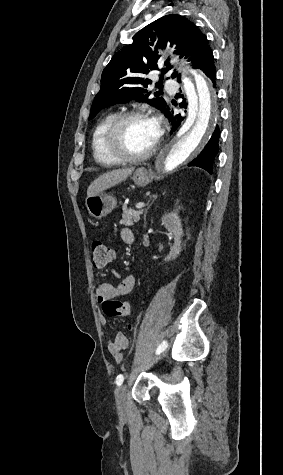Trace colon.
<instances>
[{"label":"colon","mask_w":283,"mask_h":475,"mask_svg":"<svg viewBox=\"0 0 283 475\" xmlns=\"http://www.w3.org/2000/svg\"><path fill=\"white\" fill-rule=\"evenodd\" d=\"M93 264L97 268L104 267L111 260L113 252L110 246L102 241H94L92 244ZM104 314H120L127 318V326L129 330H133L134 325L129 316V305L125 303L105 302L102 307Z\"/></svg>","instance_id":"1"}]
</instances>
